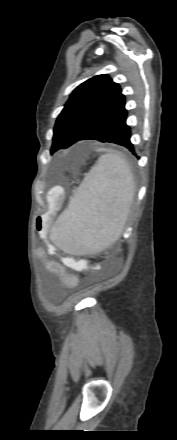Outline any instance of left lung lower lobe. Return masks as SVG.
Wrapping results in <instances>:
<instances>
[{
    "mask_svg": "<svg viewBox=\"0 0 177 440\" xmlns=\"http://www.w3.org/2000/svg\"><path fill=\"white\" fill-rule=\"evenodd\" d=\"M127 111L123 108L105 123L99 125L81 140H98L100 142H110L128 148L136 155L134 146L130 141V127L126 124Z\"/></svg>",
    "mask_w": 177,
    "mask_h": 440,
    "instance_id": "obj_1",
    "label": "left lung lower lobe"
}]
</instances>
